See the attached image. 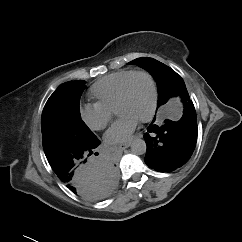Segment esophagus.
<instances>
[{
  "mask_svg": "<svg viewBox=\"0 0 242 242\" xmlns=\"http://www.w3.org/2000/svg\"><path fill=\"white\" fill-rule=\"evenodd\" d=\"M131 145V142H125L119 145V147L124 150L126 148H128Z\"/></svg>",
  "mask_w": 242,
  "mask_h": 242,
  "instance_id": "1",
  "label": "esophagus"
}]
</instances>
